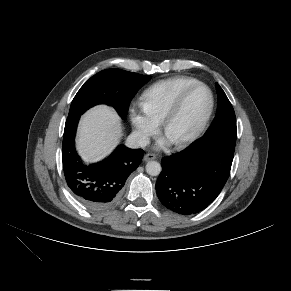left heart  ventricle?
<instances>
[{
  "mask_svg": "<svg viewBox=\"0 0 291 291\" xmlns=\"http://www.w3.org/2000/svg\"><path fill=\"white\" fill-rule=\"evenodd\" d=\"M209 102V93L206 89L197 88L192 91L170 122L165 133L166 137L174 143L192 134L205 115Z\"/></svg>",
  "mask_w": 291,
  "mask_h": 291,
  "instance_id": "b2bd125f",
  "label": "left heart ventricle"
}]
</instances>
